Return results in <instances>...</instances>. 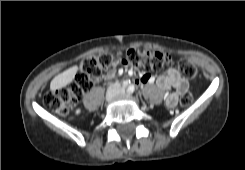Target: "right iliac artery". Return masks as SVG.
<instances>
[{"label":"right iliac artery","instance_id":"82829eb1","mask_svg":"<svg viewBox=\"0 0 245 170\" xmlns=\"http://www.w3.org/2000/svg\"><path fill=\"white\" fill-rule=\"evenodd\" d=\"M129 83H130L129 81L125 80L122 82V86L126 88L129 85Z\"/></svg>","mask_w":245,"mask_h":170}]
</instances>
